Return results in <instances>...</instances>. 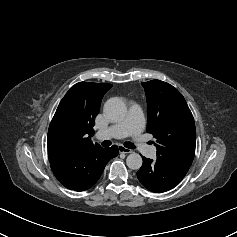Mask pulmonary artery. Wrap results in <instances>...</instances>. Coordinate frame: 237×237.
<instances>
[{
	"label": "pulmonary artery",
	"mask_w": 237,
	"mask_h": 237,
	"mask_svg": "<svg viewBox=\"0 0 237 237\" xmlns=\"http://www.w3.org/2000/svg\"><path fill=\"white\" fill-rule=\"evenodd\" d=\"M144 116L141 108L139 106H132L129 110L126 118L101 131L97 132V138L99 139H122L127 136H132L137 141V149L141 154L146 157L153 158L156 155V147L152 145H147L140 140V134L144 128Z\"/></svg>",
	"instance_id": "1"
}]
</instances>
